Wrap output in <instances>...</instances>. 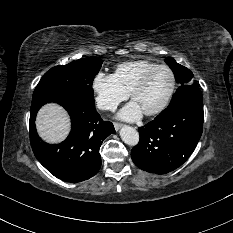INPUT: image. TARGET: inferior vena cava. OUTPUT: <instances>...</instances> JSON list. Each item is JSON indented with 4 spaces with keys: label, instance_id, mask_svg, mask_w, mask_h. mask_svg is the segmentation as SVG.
<instances>
[{
    "label": "inferior vena cava",
    "instance_id": "obj_1",
    "mask_svg": "<svg viewBox=\"0 0 233 233\" xmlns=\"http://www.w3.org/2000/svg\"><path fill=\"white\" fill-rule=\"evenodd\" d=\"M105 109L110 110V111H115L117 109V105L116 104H106L104 106Z\"/></svg>",
    "mask_w": 233,
    "mask_h": 233
}]
</instances>
